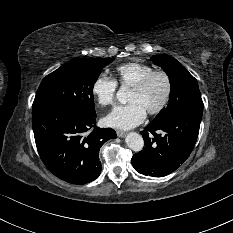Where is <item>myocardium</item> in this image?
Instances as JSON below:
<instances>
[{
  "label": "myocardium",
  "instance_id": "1",
  "mask_svg": "<svg viewBox=\"0 0 233 233\" xmlns=\"http://www.w3.org/2000/svg\"><path fill=\"white\" fill-rule=\"evenodd\" d=\"M156 76H162L164 78L166 88H165L163 99L161 100L160 104L157 107L147 112L150 115H155V114L162 112L167 106L170 100L171 94H172V79L170 75L166 71H163V70H154L153 72L146 75L141 81H139L136 85L132 87V90L141 92L146 89V87L149 85L152 79L155 78Z\"/></svg>",
  "mask_w": 233,
  "mask_h": 233
}]
</instances>
